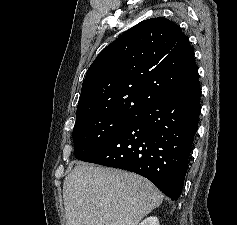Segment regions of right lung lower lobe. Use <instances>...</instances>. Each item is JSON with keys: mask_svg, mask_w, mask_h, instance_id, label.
<instances>
[{"mask_svg": "<svg viewBox=\"0 0 237 225\" xmlns=\"http://www.w3.org/2000/svg\"><path fill=\"white\" fill-rule=\"evenodd\" d=\"M200 95L197 85L146 105L117 134L80 160L135 172L176 201L198 129Z\"/></svg>", "mask_w": 237, "mask_h": 225, "instance_id": "right-lung-lower-lobe-1", "label": "right lung lower lobe"}]
</instances>
